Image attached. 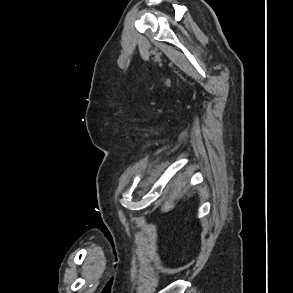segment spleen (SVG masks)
Wrapping results in <instances>:
<instances>
[{
	"mask_svg": "<svg viewBox=\"0 0 293 293\" xmlns=\"http://www.w3.org/2000/svg\"><path fill=\"white\" fill-rule=\"evenodd\" d=\"M180 194H181V192H179V193H175L176 196H178V195H180Z\"/></svg>",
	"mask_w": 293,
	"mask_h": 293,
	"instance_id": "spleen-1",
	"label": "spleen"
}]
</instances>
